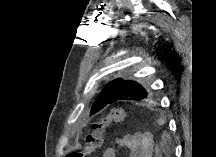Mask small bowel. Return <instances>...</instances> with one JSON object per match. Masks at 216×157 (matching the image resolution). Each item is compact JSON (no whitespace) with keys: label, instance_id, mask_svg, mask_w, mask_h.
Segmentation results:
<instances>
[{"label":"small bowel","instance_id":"1","mask_svg":"<svg viewBox=\"0 0 216 157\" xmlns=\"http://www.w3.org/2000/svg\"><path fill=\"white\" fill-rule=\"evenodd\" d=\"M116 146L129 150L130 157H152L155 142L153 134L150 132L124 135L117 138L113 145L104 150L103 157H115Z\"/></svg>","mask_w":216,"mask_h":157}]
</instances>
